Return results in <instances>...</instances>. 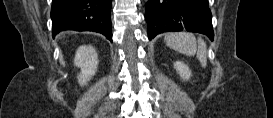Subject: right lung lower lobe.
Returning <instances> with one entry per match:
<instances>
[{
    "label": "right lung lower lobe",
    "mask_w": 273,
    "mask_h": 118,
    "mask_svg": "<svg viewBox=\"0 0 273 118\" xmlns=\"http://www.w3.org/2000/svg\"><path fill=\"white\" fill-rule=\"evenodd\" d=\"M112 0H52V36L60 31H94L112 42Z\"/></svg>",
    "instance_id": "obj_1"
}]
</instances>
